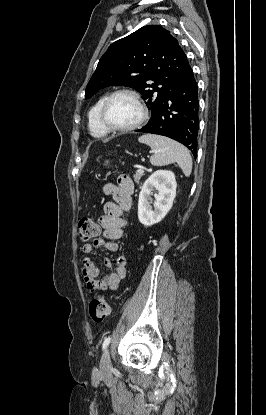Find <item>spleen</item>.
I'll list each match as a JSON object with an SVG mask.
<instances>
[{
	"label": "spleen",
	"instance_id": "obj_1",
	"mask_svg": "<svg viewBox=\"0 0 266 415\" xmlns=\"http://www.w3.org/2000/svg\"><path fill=\"white\" fill-rule=\"evenodd\" d=\"M140 143L147 144L153 151L150 162L154 166H165L172 163L182 170L186 177L192 172V158L189 151L180 143L164 136L145 134L139 137Z\"/></svg>",
	"mask_w": 266,
	"mask_h": 415
}]
</instances>
